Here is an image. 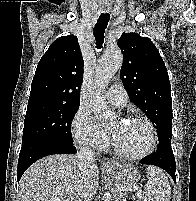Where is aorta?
Instances as JSON below:
<instances>
[{
  "label": "aorta",
  "mask_w": 196,
  "mask_h": 201,
  "mask_svg": "<svg viewBox=\"0 0 196 201\" xmlns=\"http://www.w3.org/2000/svg\"><path fill=\"white\" fill-rule=\"evenodd\" d=\"M123 62V56L120 50H108L98 60L95 71V90L96 93L91 97V103L99 119L103 122H109L115 119V113L108 108L102 95L109 81L114 74L120 69ZM104 201H112L111 195L105 192Z\"/></svg>",
  "instance_id": "762f6f07"
}]
</instances>
